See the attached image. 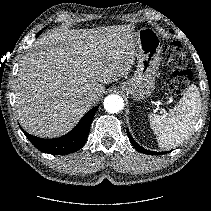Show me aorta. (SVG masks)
Segmentation results:
<instances>
[{
	"mask_svg": "<svg viewBox=\"0 0 211 211\" xmlns=\"http://www.w3.org/2000/svg\"><path fill=\"white\" fill-rule=\"evenodd\" d=\"M124 107L123 99L115 94L108 95L104 100V108L109 113H118Z\"/></svg>",
	"mask_w": 211,
	"mask_h": 211,
	"instance_id": "obj_1",
	"label": "aorta"
}]
</instances>
